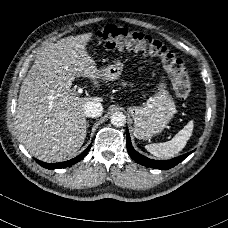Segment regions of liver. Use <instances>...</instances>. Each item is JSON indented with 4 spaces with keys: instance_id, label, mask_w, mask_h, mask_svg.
<instances>
[{
    "instance_id": "6515ba94",
    "label": "liver",
    "mask_w": 228,
    "mask_h": 228,
    "mask_svg": "<svg viewBox=\"0 0 228 228\" xmlns=\"http://www.w3.org/2000/svg\"><path fill=\"white\" fill-rule=\"evenodd\" d=\"M92 33L62 38L44 47L24 78L16 110L20 140L29 153L44 162L72 157L86 138L87 101L72 87L76 77L98 82V69L86 45Z\"/></svg>"
}]
</instances>
